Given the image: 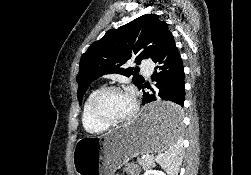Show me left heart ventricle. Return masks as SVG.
I'll list each match as a JSON object with an SVG mask.
<instances>
[{"label":"left heart ventricle","mask_w":251,"mask_h":175,"mask_svg":"<svg viewBox=\"0 0 251 175\" xmlns=\"http://www.w3.org/2000/svg\"><path fill=\"white\" fill-rule=\"evenodd\" d=\"M132 100L123 91H111L100 102V110L104 116L111 120H118L132 110Z\"/></svg>","instance_id":"left-heart-ventricle-1"}]
</instances>
